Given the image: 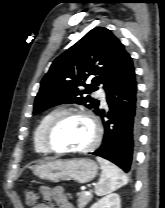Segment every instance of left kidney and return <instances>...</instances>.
I'll use <instances>...</instances> for the list:
<instances>
[{"label":"left kidney","instance_id":"left-kidney-1","mask_svg":"<svg viewBox=\"0 0 165 208\" xmlns=\"http://www.w3.org/2000/svg\"><path fill=\"white\" fill-rule=\"evenodd\" d=\"M90 208H121L120 197L117 193H111L94 203Z\"/></svg>","mask_w":165,"mask_h":208}]
</instances>
